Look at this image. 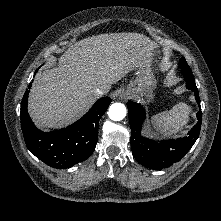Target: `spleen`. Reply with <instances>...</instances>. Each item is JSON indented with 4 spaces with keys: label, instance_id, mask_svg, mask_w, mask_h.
I'll list each match as a JSON object with an SVG mask.
<instances>
[{
    "label": "spleen",
    "instance_id": "obj_1",
    "mask_svg": "<svg viewBox=\"0 0 221 221\" xmlns=\"http://www.w3.org/2000/svg\"><path fill=\"white\" fill-rule=\"evenodd\" d=\"M190 112L191 107L181 102L169 111L152 116V125L157 132L165 136L176 134L187 124Z\"/></svg>",
    "mask_w": 221,
    "mask_h": 221
}]
</instances>
